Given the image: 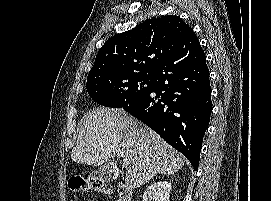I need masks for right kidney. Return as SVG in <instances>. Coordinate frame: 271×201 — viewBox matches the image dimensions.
<instances>
[{
	"label": "right kidney",
	"instance_id": "1",
	"mask_svg": "<svg viewBox=\"0 0 271 201\" xmlns=\"http://www.w3.org/2000/svg\"><path fill=\"white\" fill-rule=\"evenodd\" d=\"M172 185L166 181L151 184L143 194V201H170Z\"/></svg>",
	"mask_w": 271,
	"mask_h": 201
}]
</instances>
